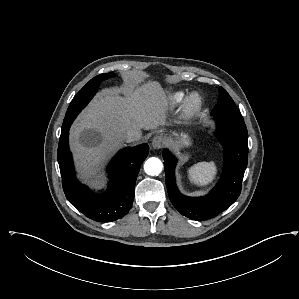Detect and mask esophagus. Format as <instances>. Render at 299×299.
<instances>
[{
	"label": "esophagus",
	"mask_w": 299,
	"mask_h": 299,
	"mask_svg": "<svg viewBox=\"0 0 299 299\" xmlns=\"http://www.w3.org/2000/svg\"><path fill=\"white\" fill-rule=\"evenodd\" d=\"M165 143V138L162 136H156L153 138L151 146L153 149H160Z\"/></svg>",
	"instance_id": "34e87169"
}]
</instances>
